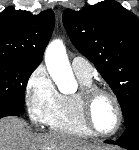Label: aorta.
I'll list each match as a JSON object with an SVG mask.
<instances>
[{
  "mask_svg": "<svg viewBox=\"0 0 139 150\" xmlns=\"http://www.w3.org/2000/svg\"><path fill=\"white\" fill-rule=\"evenodd\" d=\"M45 63L60 92L67 94L76 90L77 83L62 40H54L48 45L45 52Z\"/></svg>",
  "mask_w": 139,
  "mask_h": 150,
  "instance_id": "762f6f07",
  "label": "aorta"
}]
</instances>
